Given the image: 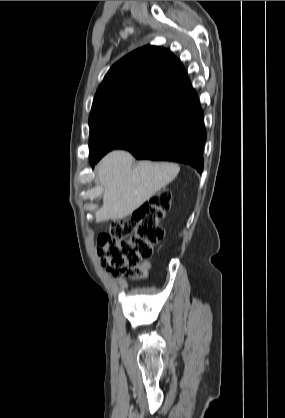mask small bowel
I'll return each instance as SVG.
<instances>
[{"label":"small bowel","instance_id":"small-bowel-1","mask_svg":"<svg viewBox=\"0 0 285 418\" xmlns=\"http://www.w3.org/2000/svg\"><path fill=\"white\" fill-rule=\"evenodd\" d=\"M145 266L147 267V265H145ZM146 276H147V273L145 272V273H143L142 275L137 276V277H136V279H137V280H142V279H144Z\"/></svg>","mask_w":285,"mask_h":418}]
</instances>
